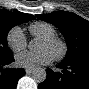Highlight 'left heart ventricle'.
Instances as JSON below:
<instances>
[{"label":"left heart ventricle","mask_w":89,"mask_h":89,"mask_svg":"<svg viewBox=\"0 0 89 89\" xmlns=\"http://www.w3.org/2000/svg\"><path fill=\"white\" fill-rule=\"evenodd\" d=\"M38 51L48 50L55 56L59 51V46L57 44H50L43 40H40L37 46Z\"/></svg>","instance_id":"b2bd125f"}]
</instances>
